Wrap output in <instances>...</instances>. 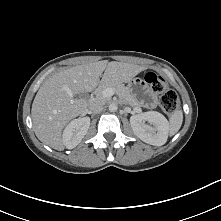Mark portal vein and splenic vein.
I'll return each mask as SVG.
<instances>
[{
	"label": "portal vein and splenic vein",
	"instance_id": "obj_1",
	"mask_svg": "<svg viewBox=\"0 0 221 221\" xmlns=\"http://www.w3.org/2000/svg\"><path fill=\"white\" fill-rule=\"evenodd\" d=\"M113 94H114V91H113L112 88H106V89L103 91V96H104V97H111Z\"/></svg>",
	"mask_w": 221,
	"mask_h": 221
}]
</instances>
